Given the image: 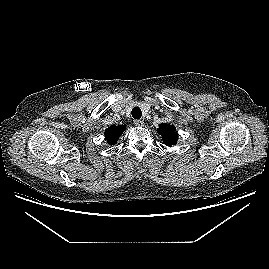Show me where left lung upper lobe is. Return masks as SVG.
<instances>
[{
  "label": "left lung upper lobe",
  "instance_id": "5c2ea615",
  "mask_svg": "<svg viewBox=\"0 0 269 269\" xmlns=\"http://www.w3.org/2000/svg\"><path fill=\"white\" fill-rule=\"evenodd\" d=\"M158 134L161 135L163 142L167 146L175 145L178 139V133L174 125L162 123L159 125Z\"/></svg>",
  "mask_w": 269,
  "mask_h": 269
}]
</instances>
